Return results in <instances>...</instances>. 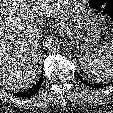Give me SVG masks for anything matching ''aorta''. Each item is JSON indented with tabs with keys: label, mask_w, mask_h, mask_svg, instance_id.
I'll use <instances>...</instances> for the list:
<instances>
[{
	"label": "aorta",
	"mask_w": 113,
	"mask_h": 113,
	"mask_svg": "<svg viewBox=\"0 0 113 113\" xmlns=\"http://www.w3.org/2000/svg\"><path fill=\"white\" fill-rule=\"evenodd\" d=\"M61 47V40L55 36H49L45 39L44 49L48 53H56Z\"/></svg>",
	"instance_id": "obj_1"
}]
</instances>
